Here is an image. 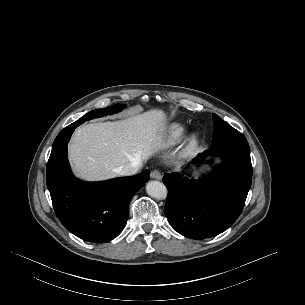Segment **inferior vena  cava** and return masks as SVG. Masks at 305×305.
<instances>
[{
  "instance_id": "inferior-vena-cava-1",
  "label": "inferior vena cava",
  "mask_w": 305,
  "mask_h": 305,
  "mask_svg": "<svg viewBox=\"0 0 305 305\" xmlns=\"http://www.w3.org/2000/svg\"><path fill=\"white\" fill-rule=\"evenodd\" d=\"M142 166L143 162L141 160L134 159L130 163L115 168L114 172L121 176H131L137 173Z\"/></svg>"
}]
</instances>
